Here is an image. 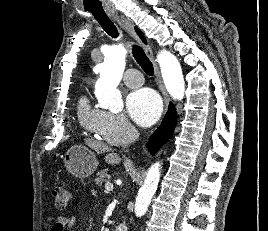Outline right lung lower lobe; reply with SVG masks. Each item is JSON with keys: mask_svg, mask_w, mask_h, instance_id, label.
<instances>
[{"mask_svg": "<svg viewBox=\"0 0 268 231\" xmlns=\"http://www.w3.org/2000/svg\"><path fill=\"white\" fill-rule=\"evenodd\" d=\"M176 121L177 112L174 106L170 104L162 124L149 139L147 147L152 154H155L172 136Z\"/></svg>", "mask_w": 268, "mask_h": 231, "instance_id": "98d812e1", "label": "right lung lower lobe"}]
</instances>
